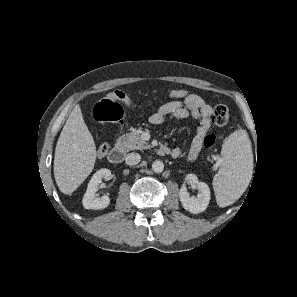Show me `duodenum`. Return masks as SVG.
I'll return each mask as SVG.
<instances>
[{"label":"duodenum","instance_id":"1","mask_svg":"<svg viewBox=\"0 0 297 297\" xmlns=\"http://www.w3.org/2000/svg\"><path fill=\"white\" fill-rule=\"evenodd\" d=\"M157 151L160 155L171 154V150L167 146H160ZM125 154L124 146L119 144L111 149L108 158L112 163H120L123 161Z\"/></svg>","mask_w":297,"mask_h":297}]
</instances>
